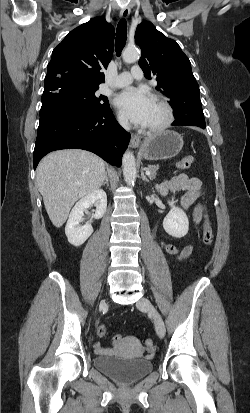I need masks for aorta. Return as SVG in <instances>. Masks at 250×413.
Segmentation results:
<instances>
[{"mask_svg":"<svg viewBox=\"0 0 250 413\" xmlns=\"http://www.w3.org/2000/svg\"><path fill=\"white\" fill-rule=\"evenodd\" d=\"M140 53L135 48H127L123 52V60L126 63H134L139 59ZM123 175L126 183L134 186L136 180V163L132 152L126 151L122 159Z\"/></svg>","mask_w":250,"mask_h":413,"instance_id":"aorta-1","label":"aorta"}]
</instances>
